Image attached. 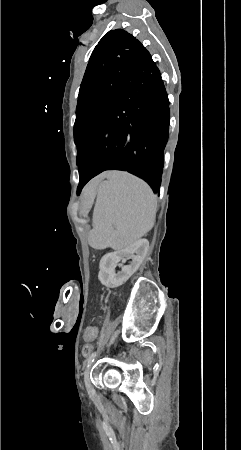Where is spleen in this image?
I'll return each mask as SVG.
<instances>
[{
    "label": "spleen",
    "mask_w": 241,
    "mask_h": 450,
    "mask_svg": "<svg viewBox=\"0 0 241 450\" xmlns=\"http://www.w3.org/2000/svg\"><path fill=\"white\" fill-rule=\"evenodd\" d=\"M97 202L99 211H110L95 212L89 229L87 242L97 253L127 248L154 226L156 196L146 182L128 172H111L99 186Z\"/></svg>",
    "instance_id": "obj_1"
}]
</instances>
